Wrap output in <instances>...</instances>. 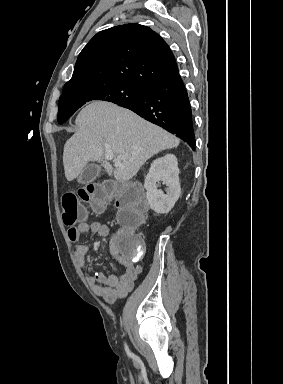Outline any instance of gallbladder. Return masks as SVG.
I'll return each mask as SVG.
<instances>
[{
  "label": "gallbladder",
  "instance_id": "bac80fb5",
  "mask_svg": "<svg viewBox=\"0 0 283 384\" xmlns=\"http://www.w3.org/2000/svg\"><path fill=\"white\" fill-rule=\"evenodd\" d=\"M96 170H97V167L95 165L88 166L86 170H83L77 182H79V184H90V182H93V180H95V177L97 176Z\"/></svg>",
  "mask_w": 283,
  "mask_h": 384
}]
</instances>
